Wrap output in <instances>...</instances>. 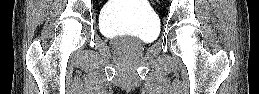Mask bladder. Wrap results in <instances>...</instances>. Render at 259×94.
<instances>
[{
	"instance_id": "1",
	"label": "bladder",
	"mask_w": 259,
	"mask_h": 94,
	"mask_svg": "<svg viewBox=\"0 0 259 94\" xmlns=\"http://www.w3.org/2000/svg\"><path fill=\"white\" fill-rule=\"evenodd\" d=\"M100 27L102 33L111 38L124 31L133 34L142 41H147L155 33L156 22L147 7L125 13L116 10V8H110L105 12Z\"/></svg>"
}]
</instances>
